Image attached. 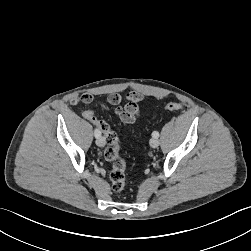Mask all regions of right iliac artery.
I'll use <instances>...</instances> for the list:
<instances>
[{
    "instance_id": "1",
    "label": "right iliac artery",
    "mask_w": 251,
    "mask_h": 251,
    "mask_svg": "<svg viewBox=\"0 0 251 251\" xmlns=\"http://www.w3.org/2000/svg\"><path fill=\"white\" fill-rule=\"evenodd\" d=\"M94 135H95V137L98 138L101 135V132L98 129H95Z\"/></svg>"
}]
</instances>
